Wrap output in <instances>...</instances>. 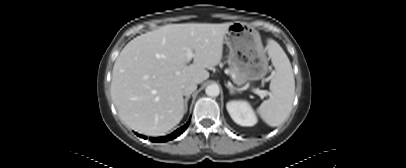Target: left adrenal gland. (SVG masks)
Here are the masks:
<instances>
[{"mask_svg": "<svg viewBox=\"0 0 406 168\" xmlns=\"http://www.w3.org/2000/svg\"><path fill=\"white\" fill-rule=\"evenodd\" d=\"M225 86L229 89L230 94H235L236 93V91L233 88L229 87L227 84H225Z\"/></svg>", "mask_w": 406, "mask_h": 168, "instance_id": "left-adrenal-gland-1", "label": "left adrenal gland"}]
</instances>
